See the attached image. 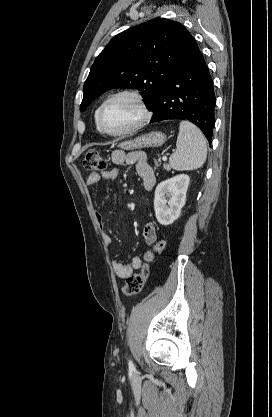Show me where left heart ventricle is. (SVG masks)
I'll return each instance as SVG.
<instances>
[{
	"instance_id": "obj_1",
	"label": "left heart ventricle",
	"mask_w": 272,
	"mask_h": 417,
	"mask_svg": "<svg viewBox=\"0 0 272 417\" xmlns=\"http://www.w3.org/2000/svg\"><path fill=\"white\" fill-rule=\"evenodd\" d=\"M140 116V108L132 98L120 97L107 105L102 123L107 131L118 132L133 125Z\"/></svg>"
}]
</instances>
